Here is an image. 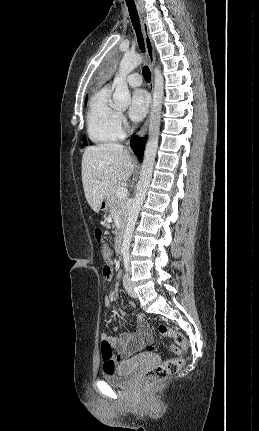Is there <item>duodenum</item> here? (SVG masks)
Instances as JSON below:
<instances>
[{
  "label": "duodenum",
  "mask_w": 259,
  "mask_h": 431,
  "mask_svg": "<svg viewBox=\"0 0 259 431\" xmlns=\"http://www.w3.org/2000/svg\"><path fill=\"white\" fill-rule=\"evenodd\" d=\"M122 244H123V236L121 233H119L115 239V250H116V252H118V253L121 252Z\"/></svg>",
  "instance_id": "obj_1"
}]
</instances>
